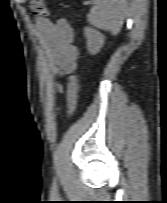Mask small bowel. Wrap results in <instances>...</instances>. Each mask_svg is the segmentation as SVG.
<instances>
[{
  "label": "small bowel",
  "instance_id": "1",
  "mask_svg": "<svg viewBox=\"0 0 167 203\" xmlns=\"http://www.w3.org/2000/svg\"><path fill=\"white\" fill-rule=\"evenodd\" d=\"M35 29L55 73L60 77L72 74L77 67L78 50L72 43L73 31L67 20L53 23L47 18H38ZM59 90L63 91V87L59 86Z\"/></svg>",
  "mask_w": 167,
  "mask_h": 203
}]
</instances>
